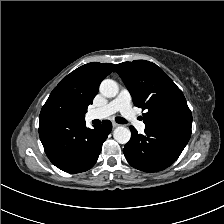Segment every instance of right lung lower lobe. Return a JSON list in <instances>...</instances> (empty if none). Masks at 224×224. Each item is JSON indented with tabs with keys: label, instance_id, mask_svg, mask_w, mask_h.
<instances>
[{
	"label": "right lung lower lobe",
	"instance_id": "98d812e1",
	"mask_svg": "<svg viewBox=\"0 0 224 224\" xmlns=\"http://www.w3.org/2000/svg\"><path fill=\"white\" fill-rule=\"evenodd\" d=\"M111 129L109 120L90 129L85 120L74 121L48 114L39 117V136L48 158L68 173L87 171L96 163Z\"/></svg>",
	"mask_w": 224,
	"mask_h": 224
}]
</instances>
